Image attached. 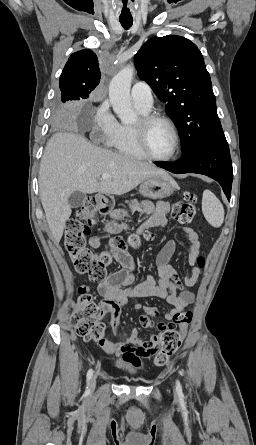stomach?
<instances>
[{"label":"stomach","instance_id":"1","mask_svg":"<svg viewBox=\"0 0 256 445\" xmlns=\"http://www.w3.org/2000/svg\"><path fill=\"white\" fill-rule=\"evenodd\" d=\"M176 184L170 176H153L142 182L139 192L149 199H164L171 196ZM115 217H119L117 213Z\"/></svg>","mask_w":256,"mask_h":445}]
</instances>
